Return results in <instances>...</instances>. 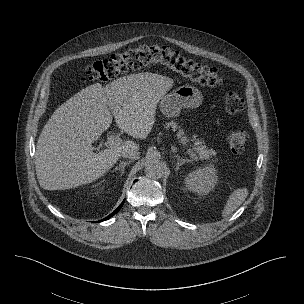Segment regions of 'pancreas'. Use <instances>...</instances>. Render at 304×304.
<instances>
[{
  "label": "pancreas",
  "mask_w": 304,
  "mask_h": 304,
  "mask_svg": "<svg viewBox=\"0 0 304 304\" xmlns=\"http://www.w3.org/2000/svg\"><path fill=\"white\" fill-rule=\"evenodd\" d=\"M164 127L166 129H168V128L171 127L173 131H176L178 129L177 136H178V138H180V143L182 145H187L188 144L189 139L185 135L183 129H181L180 126H178L176 122H174V121L167 122V123H165ZM193 140L195 141L193 149L199 154V156L201 158L213 160L211 158H215L216 157L217 153L214 150L209 149L204 144L203 140H201V139H193ZM213 161H217V159L215 158Z\"/></svg>",
  "instance_id": "pancreas-1"
}]
</instances>
